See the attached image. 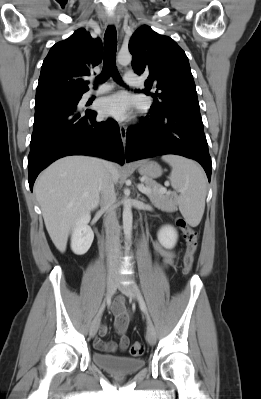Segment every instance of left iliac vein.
I'll list each match as a JSON object with an SVG mask.
<instances>
[{
	"label": "left iliac vein",
	"mask_w": 261,
	"mask_h": 399,
	"mask_svg": "<svg viewBox=\"0 0 261 399\" xmlns=\"http://www.w3.org/2000/svg\"><path fill=\"white\" fill-rule=\"evenodd\" d=\"M117 287L124 295H126L130 299L132 300L137 299L138 295H137V288L135 285L118 283ZM146 339L148 343L151 345H153L156 341V332L154 326L150 322L147 325Z\"/></svg>",
	"instance_id": "4c4485c4"
}]
</instances>
